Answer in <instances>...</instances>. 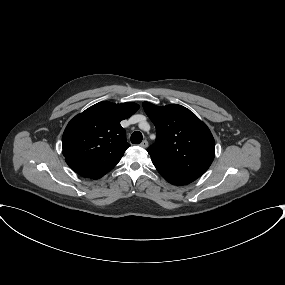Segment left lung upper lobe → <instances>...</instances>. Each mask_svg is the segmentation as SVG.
Here are the masks:
<instances>
[{
    "instance_id": "obj_1",
    "label": "left lung upper lobe",
    "mask_w": 285,
    "mask_h": 285,
    "mask_svg": "<svg viewBox=\"0 0 285 285\" xmlns=\"http://www.w3.org/2000/svg\"><path fill=\"white\" fill-rule=\"evenodd\" d=\"M143 108L157 132L156 143L147 149L154 165L197 178L203 175L215 154V141L205 123L178 104L159 107L143 102Z\"/></svg>"
}]
</instances>
